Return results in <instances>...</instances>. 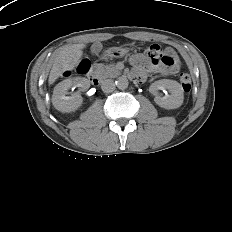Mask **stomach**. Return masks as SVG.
<instances>
[{"mask_svg": "<svg viewBox=\"0 0 232 232\" xmlns=\"http://www.w3.org/2000/svg\"><path fill=\"white\" fill-rule=\"evenodd\" d=\"M128 53L129 51L125 48L111 47L105 51V56L108 58H122Z\"/></svg>", "mask_w": 232, "mask_h": 232, "instance_id": "0dacf381", "label": "stomach"}]
</instances>
